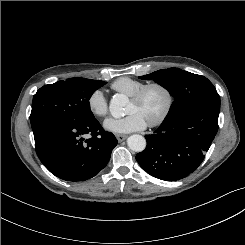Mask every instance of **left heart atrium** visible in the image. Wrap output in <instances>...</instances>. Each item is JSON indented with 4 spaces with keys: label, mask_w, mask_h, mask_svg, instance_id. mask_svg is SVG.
Returning <instances> with one entry per match:
<instances>
[{
    "label": "left heart atrium",
    "mask_w": 245,
    "mask_h": 245,
    "mask_svg": "<svg viewBox=\"0 0 245 245\" xmlns=\"http://www.w3.org/2000/svg\"><path fill=\"white\" fill-rule=\"evenodd\" d=\"M146 121L137 112L128 113L126 116L121 118H108L104 122L106 130L113 133H129L144 129Z\"/></svg>",
    "instance_id": "1"
}]
</instances>
